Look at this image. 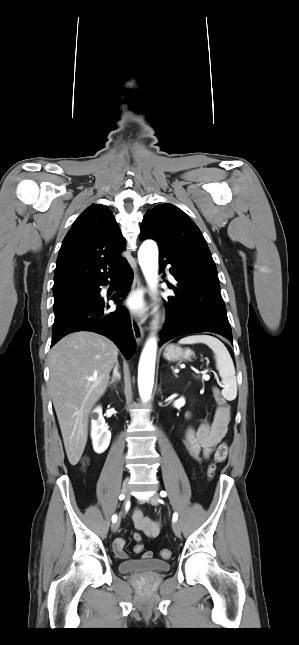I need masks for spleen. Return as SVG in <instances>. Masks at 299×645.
I'll list each match as a JSON object with an SVG mask.
<instances>
[{"mask_svg":"<svg viewBox=\"0 0 299 645\" xmlns=\"http://www.w3.org/2000/svg\"><path fill=\"white\" fill-rule=\"evenodd\" d=\"M179 344H195L204 343L209 346L215 355L216 368L222 379L224 389L222 395L225 399L232 401L237 396V381L235 376V368L232 358L224 346V344L217 338L209 335H192L179 340Z\"/></svg>","mask_w":299,"mask_h":645,"instance_id":"spleen-1","label":"spleen"}]
</instances>
